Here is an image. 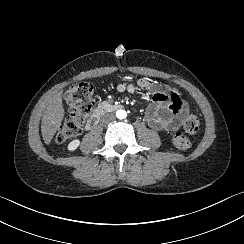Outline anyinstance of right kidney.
Segmentation results:
<instances>
[{
	"label": "right kidney",
	"instance_id": "right-kidney-1",
	"mask_svg": "<svg viewBox=\"0 0 244 244\" xmlns=\"http://www.w3.org/2000/svg\"><path fill=\"white\" fill-rule=\"evenodd\" d=\"M80 145V141L79 140H73L69 143L68 145V150L69 151H74L78 148V146Z\"/></svg>",
	"mask_w": 244,
	"mask_h": 244
}]
</instances>
